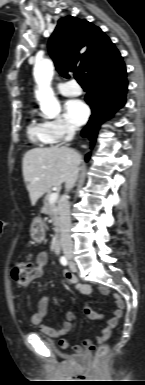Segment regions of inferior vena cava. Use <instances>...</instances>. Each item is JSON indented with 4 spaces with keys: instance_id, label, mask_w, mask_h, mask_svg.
Listing matches in <instances>:
<instances>
[{
    "instance_id": "obj_1",
    "label": "inferior vena cava",
    "mask_w": 145,
    "mask_h": 385,
    "mask_svg": "<svg viewBox=\"0 0 145 385\" xmlns=\"http://www.w3.org/2000/svg\"><path fill=\"white\" fill-rule=\"evenodd\" d=\"M77 128L73 125H69L67 128V135L64 139L65 142L73 140ZM79 168L75 167L65 182L66 192H69L75 185L78 178ZM68 195L61 196L58 205L59 221H60V240L62 250L65 256H71L73 252V243L71 239V217H70V205L68 201Z\"/></svg>"
}]
</instances>
